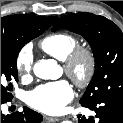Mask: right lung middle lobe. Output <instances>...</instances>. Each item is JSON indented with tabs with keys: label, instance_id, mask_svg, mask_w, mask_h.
I'll return each instance as SVG.
<instances>
[{
	"label": "right lung middle lobe",
	"instance_id": "right-lung-middle-lobe-1",
	"mask_svg": "<svg viewBox=\"0 0 123 123\" xmlns=\"http://www.w3.org/2000/svg\"><path fill=\"white\" fill-rule=\"evenodd\" d=\"M45 28H22L1 37V101L12 99V82H18L17 56L25 43L41 35Z\"/></svg>",
	"mask_w": 123,
	"mask_h": 123
}]
</instances>
